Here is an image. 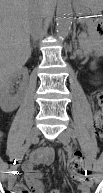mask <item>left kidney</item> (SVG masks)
Segmentation results:
<instances>
[{"instance_id": "obj_1", "label": "left kidney", "mask_w": 103, "mask_h": 193, "mask_svg": "<svg viewBox=\"0 0 103 193\" xmlns=\"http://www.w3.org/2000/svg\"><path fill=\"white\" fill-rule=\"evenodd\" d=\"M91 66H92V69H95V68H96V62H95V61L92 62V63H91Z\"/></svg>"}]
</instances>
